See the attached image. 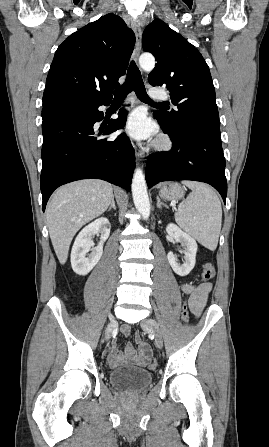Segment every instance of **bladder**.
I'll list each match as a JSON object with an SVG mask.
<instances>
[{
  "mask_svg": "<svg viewBox=\"0 0 269 447\" xmlns=\"http://www.w3.org/2000/svg\"><path fill=\"white\" fill-rule=\"evenodd\" d=\"M108 379L111 386L119 391L139 393L145 387L151 386L153 374L139 367L123 366L109 371Z\"/></svg>",
  "mask_w": 269,
  "mask_h": 447,
  "instance_id": "obj_1",
  "label": "bladder"
}]
</instances>
